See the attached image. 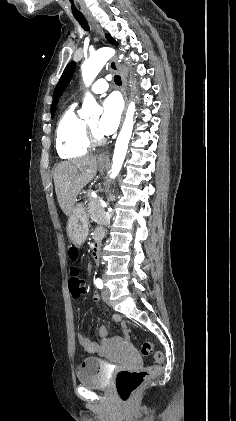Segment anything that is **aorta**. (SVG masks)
I'll list each match as a JSON object with an SVG mask.
<instances>
[{
  "instance_id": "1",
  "label": "aorta",
  "mask_w": 236,
  "mask_h": 421,
  "mask_svg": "<svg viewBox=\"0 0 236 421\" xmlns=\"http://www.w3.org/2000/svg\"><path fill=\"white\" fill-rule=\"evenodd\" d=\"M115 54L114 48H108V46H103V48H98L96 52L90 54L88 60L83 62L82 68V76L85 84L89 86L91 82H93L94 78H96L98 72H100L101 68H103L104 64H106L107 60L111 58ZM87 100H93L91 94H87L84 104H87ZM134 114H135V102L131 100L127 106L125 120L123 122V126L119 132V136L116 140L114 154H113V162H112V174L111 178H115L118 172H120L122 168V164L124 162V158L126 156L128 142L131 138L133 124H134Z\"/></svg>"
}]
</instances>
